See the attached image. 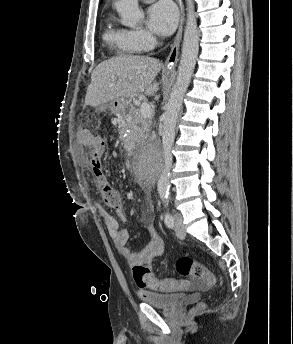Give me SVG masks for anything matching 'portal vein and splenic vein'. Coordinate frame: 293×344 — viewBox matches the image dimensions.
I'll use <instances>...</instances> for the list:
<instances>
[{"label":"portal vein and splenic vein","instance_id":"1","mask_svg":"<svg viewBox=\"0 0 293 344\" xmlns=\"http://www.w3.org/2000/svg\"><path fill=\"white\" fill-rule=\"evenodd\" d=\"M140 112L144 118L149 117L152 113L151 106L147 102H143L140 106Z\"/></svg>","mask_w":293,"mask_h":344}]
</instances>
